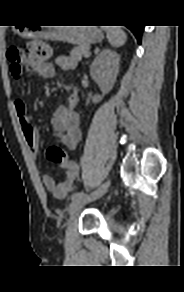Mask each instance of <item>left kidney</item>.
Masks as SVG:
<instances>
[{
	"instance_id": "obj_1",
	"label": "left kidney",
	"mask_w": 184,
	"mask_h": 292,
	"mask_svg": "<svg viewBox=\"0 0 184 292\" xmlns=\"http://www.w3.org/2000/svg\"><path fill=\"white\" fill-rule=\"evenodd\" d=\"M120 66V56L109 49H104L90 66V76L98 84L102 95L92 97L93 103H99L105 94L113 88Z\"/></svg>"
}]
</instances>
